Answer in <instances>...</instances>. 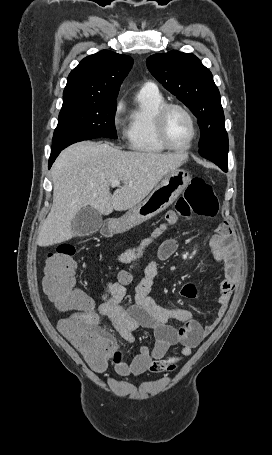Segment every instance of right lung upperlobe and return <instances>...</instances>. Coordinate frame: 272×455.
Listing matches in <instances>:
<instances>
[{"mask_svg": "<svg viewBox=\"0 0 272 455\" xmlns=\"http://www.w3.org/2000/svg\"><path fill=\"white\" fill-rule=\"evenodd\" d=\"M132 63L130 56L108 50L84 58L68 76L63 104L116 101Z\"/></svg>", "mask_w": 272, "mask_h": 455, "instance_id": "1", "label": "right lung upper lobe"}]
</instances>
